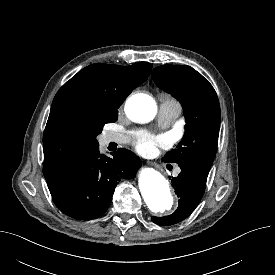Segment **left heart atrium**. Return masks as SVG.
<instances>
[{
    "label": "left heart atrium",
    "mask_w": 275,
    "mask_h": 275,
    "mask_svg": "<svg viewBox=\"0 0 275 275\" xmlns=\"http://www.w3.org/2000/svg\"><path fill=\"white\" fill-rule=\"evenodd\" d=\"M136 147L140 152H154L157 147L167 145L168 140L164 136H155L146 131L134 132Z\"/></svg>",
    "instance_id": "left-heart-atrium-1"
}]
</instances>
